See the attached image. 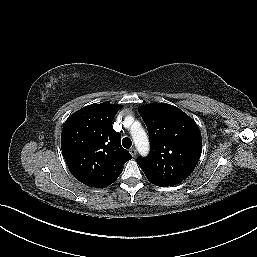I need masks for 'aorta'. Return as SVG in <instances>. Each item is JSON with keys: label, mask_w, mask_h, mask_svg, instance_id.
I'll list each match as a JSON object with an SVG mask.
<instances>
[{"label": "aorta", "mask_w": 257, "mask_h": 257, "mask_svg": "<svg viewBox=\"0 0 257 257\" xmlns=\"http://www.w3.org/2000/svg\"><path fill=\"white\" fill-rule=\"evenodd\" d=\"M132 138L140 154L145 155L149 151V141L146 132L138 127L132 131Z\"/></svg>", "instance_id": "762f6f07"}]
</instances>
